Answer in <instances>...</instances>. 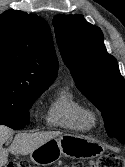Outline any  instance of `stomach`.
Masks as SVG:
<instances>
[{"label":"stomach","mask_w":125,"mask_h":167,"mask_svg":"<svg viewBox=\"0 0 125 167\" xmlns=\"http://www.w3.org/2000/svg\"><path fill=\"white\" fill-rule=\"evenodd\" d=\"M103 152L104 147L89 137L76 134H64L36 148L30 153V159L37 165L52 164L62 156L88 159L99 156Z\"/></svg>","instance_id":"stomach-1"}]
</instances>
